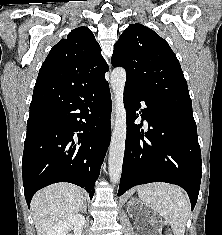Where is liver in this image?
I'll return each instance as SVG.
<instances>
[{
  "instance_id": "6515ba94",
  "label": "liver",
  "mask_w": 222,
  "mask_h": 235,
  "mask_svg": "<svg viewBox=\"0 0 222 235\" xmlns=\"http://www.w3.org/2000/svg\"><path fill=\"white\" fill-rule=\"evenodd\" d=\"M84 200L82 190L67 183L53 184L37 192L30 205L37 235H47L55 224L76 215Z\"/></svg>"
}]
</instances>
